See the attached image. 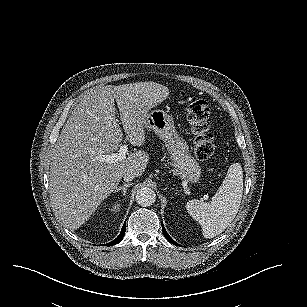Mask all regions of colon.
I'll use <instances>...</instances> for the list:
<instances>
[{
	"mask_svg": "<svg viewBox=\"0 0 307 307\" xmlns=\"http://www.w3.org/2000/svg\"><path fill=\"white\" fill-rule=\"evenodd\" d=\"M186 117L195 136L194 153L199 160H208L215 152L214 137L209 122V104L202 99L195 100L186 107Z\"/></svg>",
	"mask_w": 307,
	"mask_h": 307,
	"instance_id": "colon-1",
	"label": "colon"
}]
</instances>
